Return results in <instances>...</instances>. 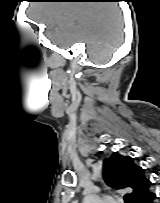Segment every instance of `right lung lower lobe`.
<instances>
[{
  "label": "right lung lower lobe",
  "instance_id": "obj_1",
  "mask_svg": "<svg viewBox=\"0 0 160 203\" xmlns=\"http://www.w3.org/2000/svg\"><path fill=\"white\" fill-rule=\"evenodd\" d=\"M155 198H156V195L151 192L149 195H147V196L141 201V203H152Z\"/></svg>",
  "mask_w": 160,
  "mask_h": 203
}]
</instances>
